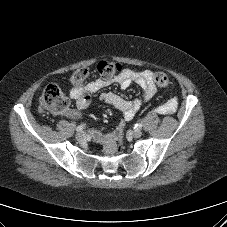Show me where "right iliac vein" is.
Segmentation results:
<instances>
[{
  "mask_svg": "<svg viewBox=\"0 0 227 227\" xmlns=\"http://www.w3.org/2000/svg\"><path fill=\"white\" fill-rule=\"evenodd\" d=\"M75 137L78 141H83V140H85L86 135L84 132H78Z\"/></svg>",
  "mask_w": 227,
  "mask_h": 227,
  "instance_id": "obj_1",
  "label": "right iliac vein"
}]
</instances>
